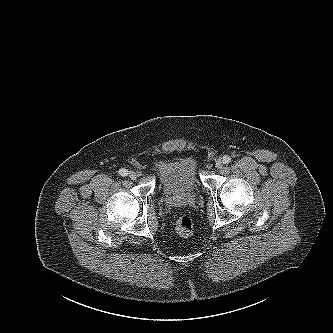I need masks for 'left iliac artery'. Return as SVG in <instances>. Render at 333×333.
Listing matches in <instances>:
<instances>
[{"instance_id":"obj_1","label":"left iliac artery","mask_w":333,"mask_h":333,"mask_svg":"<svg viewBox=\"0 0 333 333\" xmlns=\"http://www.w3.org/2000/svg\"><path fill=\"white\" fill-rule=\"evenodd\" d=\"M229 162H231V157L228 156V155H225V156L223 157V163H224V164H228Z\"/></svg>"}]
</instances>
